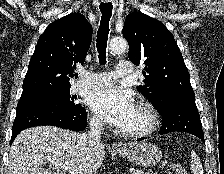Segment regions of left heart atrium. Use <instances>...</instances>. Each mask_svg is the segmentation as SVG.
<instances>
[{
	"label": "left heart atrium",
	"mask_w": 224,
	"mask_h": 174,
	"mask_svg": "<svg viewBox=\"0 0 224 174\" xmlns=\"http://www.w3.org/2000/svg\"><path fill=\"white\" fill-rule=\"evenodd\" d=\"M88 104L102 120L120 130L125 128L135 109L132 97L114 87L92 92Z\"/></svg>",
	"instance_id": "39dd6f15"
}]
</instances>
